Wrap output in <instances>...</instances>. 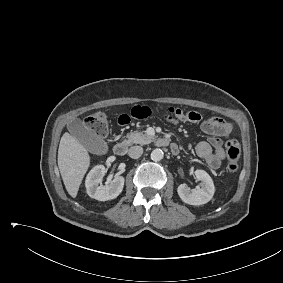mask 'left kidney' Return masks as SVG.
<instances>
[{
  "mask_svg": "<svg viewBox=\"0 0 283 283\" xmlns=\"http://www.w3.org/2000/svg\"><path fill=\"white\" fill-rule=\"evenodd\" d=\"M193 175L197 180L201 181L200 187L191 190L187 185L181 184L177 188L178 195L183 202L190 205L206 204L215 193L213 180L204 170L197 169Z\"/></svg>",
  "mask_w": 283,
  "mask_h": 283,
  "instance_id": "5707ae66",
  "label": "left kidney"
}]
</instances>
